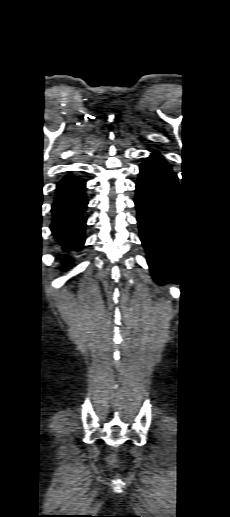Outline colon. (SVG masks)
Listing matches in <instances>:
<instances>
[{"label": "colon", "mask_w": 230, "mask_h": 517, "mask_svg": "<svg viewBox=\"0 0 230 517\" xmlns=\"http://www.w3.org/2000/svg\"><path fill=\"white\" fill-rule=\"evenodd\" d=\"M115 461H116L115 458H111L112 463H115Z\"/></svg>", "instance_id": "colon-1"}]
</instances>
